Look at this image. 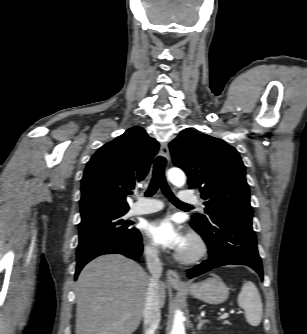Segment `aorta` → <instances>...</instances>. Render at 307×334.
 Segmentation results:
<instances>
[{
    "label": "aorta",
    "mask_w": 307,
    "mask_h": 334,
    "mask_svg": "<svg viewBox=\"0 0 307 334\" xmlns=\"http://www.w3.org/2000/svg\"><path fill=\"white\" fill-rule=\"evenodd\" d=\"M167 176L170 182L177 187H182L186 182L185 174L177 168L170 169ZM184 320L183 313L180 310H176L170 334H186Z\"/></svg>",
    "instance_id": "aorta-1"
}]
</instances>
